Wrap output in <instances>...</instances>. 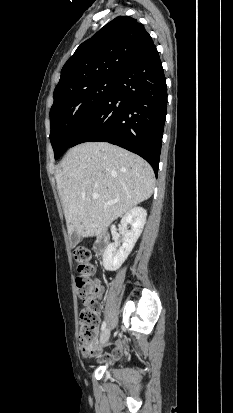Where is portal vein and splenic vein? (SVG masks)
Masks as SVG:
<instances>
[{
  "instance_id": "1",
  "label": "portal vein and splenic vein",
  "mask_w": 233,
  "mask_h": 413,
  "mask_svg": "<svg viewBox=\"0 0 233 413\" xmlns=\"http://www.w3.org/2000/svg\"><path fill=\"white\" fill-rule=\"evenodd\" d=\"M93 198H94V199H98V198H99V194L94 193V194H93ZM115 202H117V201L108 202V204H112V203H115Z\"/></svg>"
}]
</instances>
